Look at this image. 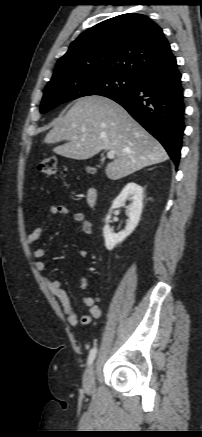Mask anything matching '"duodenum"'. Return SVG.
Here are the masks:
<instances>
[{"mask_svg":"<svg viewBox=\"0 0 202 437\" xmlns=\"http://www.w3.org/2000/svg\"><path fill=\"white\" fill-rule=\"evenodd\" d=\"M97 200V191L94 188H89L86 194V202L89 207H94Z\"/></svg>","mask_w":202,"mask_h":437,"instance_id":"410a0bca","label":"duodenum"}]
</instances>
